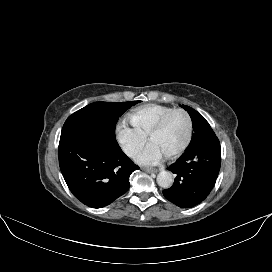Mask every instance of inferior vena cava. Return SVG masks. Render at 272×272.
<instances>
[{
	"instance_id": "602c4592",
	"label": "inferior vena cava",
	"mask_w": 272,
	"mask_h": 272,
	"mask_svg": "<svg viewBox=\"0 0 272 272\" xmlns=\"http://www.w3.org/2000/svg\"><path fill=\"white\" fill-rule=\"evenodd\" d=\"M134 151L135 150L132 147H128L125 149L126 154H128L129 156H131L134 153Z\"/></svg>"
}]
</instances>
